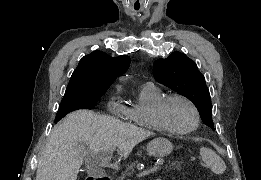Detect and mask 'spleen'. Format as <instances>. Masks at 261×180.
Segmentation results:
<instances>
[{
	"mask_svg": "<svg viewBox=\"0 0 261 180\" xmlns=\"http://www.w3.org/2000/svg\"><path fill=\"white\" fill-rule=\"evenodd\" d=\"M200 154L203 162L208 168H211L213 174H224L226 170L225 162L220 156H217L216 152L209 150V148H200Z\"/></svg>",
	"mask_w": 261,
	"mask_h": 180,
	"instance_id": "spleen-1",
	"label": "spleen"
}]
</instances>
